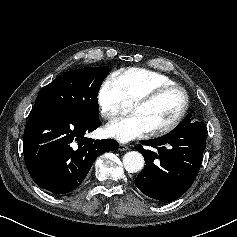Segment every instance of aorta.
<instances>
[{"label": "aorta", "mask_w": 237, "mask_h": 237, "mask_svg": "<svg viewBox=\"0 0 237 237\" xmlns=\"http://www.w3.org/2000/svg\"><path fill=\"white\" fill-rule=\"evenodd\" d=\"M123 165L126 171L136 173L144 166V158L137 151L127 152L123 157Z\"/></svg>", "instance_id": "762f6f07"}]
</instances>
